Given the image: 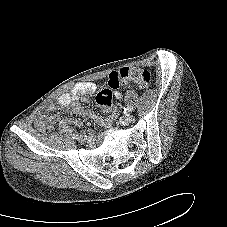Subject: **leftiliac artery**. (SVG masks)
I'll return each mask as SVG.
<instances>
[{
    "instance_id": "44dca946",
    "label": "left iliac artery",
    "mask_w": 227,
    "mask_h": 227,
    "mask_svg": "<svg viewBox=\"0 0 227 227\" xmlns=\"http://www.w3.org/2000/svg\"><path fill=\"white\" fill-rule=\"evenodd\" d=\"M124 109H125L126 112H132L133 111V106L127 105Z\"/></svg>"
}]
</instances>
